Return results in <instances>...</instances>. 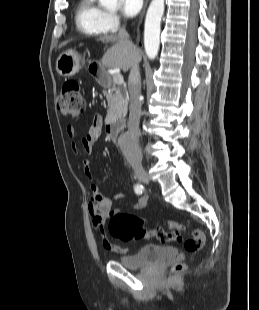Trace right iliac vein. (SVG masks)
<instances>
[{
	"mask_svg": "<svg viewBox=\"0 0 259 310\" xmlns=\"http://www.w3.org/2000/svg\"><path fill=\"white\" fill-rule=\"evenodd\" d=\"M133 170L135 172V176L142 182L145 184H148L150 182V178L149 175L147 174V172L144 170V168L142 167V165H134L133 166Z\"/></svg>",
	"mask_w": 259,
	"mask_h": 310,
	"instance_id": "63e3f726",
	"label": "right iliac vein"
}]
</instances>
